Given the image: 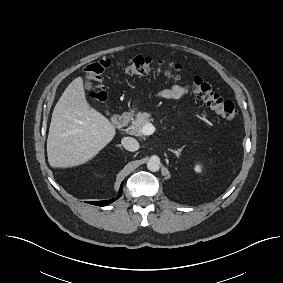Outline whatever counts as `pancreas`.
<instances>
[{
  "instance_id": "cf45deb5",
  "label": "pancreas",
  "mask_w": 283,
  "mask_h": 283,
  "mask_svg": "<svg viewBox=\"0 0 283 283\" xmlns=\"http://www.w3.org/2000/svg\"><path fill=\"white\" fill-rule=\"evenodd\" d=\"M153 121L151 118V114L148 112H138L136 114L135 120L132 122L131 126L129 127V134L135 136H142L141 129L142 127Z\"/></svg>"
}]
</instances>
